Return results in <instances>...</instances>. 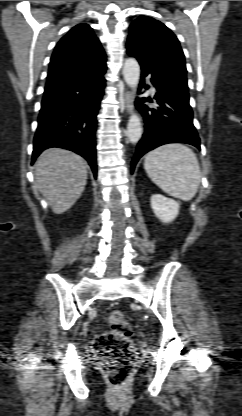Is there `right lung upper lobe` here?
Returning a JSON list of instances; mask_svg holds the SVG:
<instances>
[{
    "label": "right lung upper lobe",
    "instance_id": "1",
    "mask_svg": "<svg viewBox=\"0 0 242 416\" xmlns=\"http://www.w3.org/2000/svg\"><path fill=\"white\" fill-rule=\"evenodd\" d=\"M106 71V55L92 28L73 27L56 45L45 88L77 82L88 75Z\"/></svg>",
    "mask_w": 242,
    "mask_h": 416
}]
</instances>
